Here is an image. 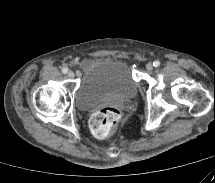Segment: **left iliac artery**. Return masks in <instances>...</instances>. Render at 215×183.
Wrapping results in <instances>:
<instances>
[{
    "label": "left iliac artery",
    "instance_id": "obj_1",
    "mask_svg": "<svg viewBox=\"0 0 215 183\" xmlns=\"http://www.w3.org/2000/svg\"><path fill=\"white\" fill-rule=\"evenodd\" d=\"M153 66H154V67H159V66H160V62H159L158 60H155V61L153 62Z\"/></svg>",
    "mask_w": 215,
    "mask_h": 183
}]
</instances>
